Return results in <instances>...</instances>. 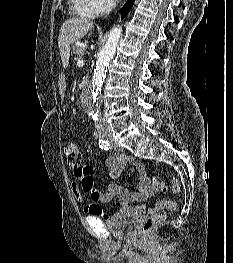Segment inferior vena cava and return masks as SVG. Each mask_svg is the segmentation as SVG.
<instances>
[{
    "label": "inferior vena cava",
    "instance_id": "1",
    "mask_svg": "<svg viewBox=\"0 0 233 263\" xmlns=\"http://www.w3.org/2000/svg\"><path fill=\"white\" fill-rule=\"evenodd\" d=\"M99 123L102 129H110L107 120L104 117L100 118Z\"/></svg>",
    "mask_w": 233,
    "mask_h": 263
}]
</instances>
